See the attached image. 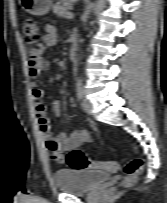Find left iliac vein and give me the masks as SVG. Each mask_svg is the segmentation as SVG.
Returning <instances> with one entry per match:
<instances>
[{"mask_svg":"<svg viewBox=\"0 0 167 203\" xmlns=\"http://www.w3.org/2000/svg\"><path fill=\"white\" fill-rule=\"evenodd\" d=\"M82 105H83V109H84L85 112H87L89 114L92 113V105L88 100L83 99Z\"/></svg>","mask_w":167,"mask_h":203,"instance_id":"4c4485c4","label":"left iliac vein"}]
</instances>
